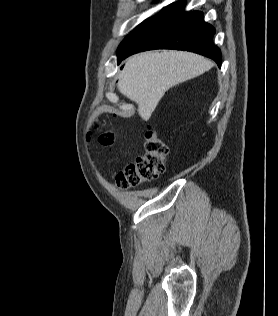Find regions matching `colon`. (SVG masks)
<instances>
[{"label": "colon", "mask_w": 278, "mask_h": 316, "mask_svg": "<svg viewBox=\"0 0 278 316\" xmlns=\"http://www.w3.org/2000/svg\"><path fill=\"white\" fill-rule=\"evenodd\" d=\"M114 139V134L110 131L102 132L99 136L100 143L106 146L113 145ZM144 150L143 155L117 174L115 180L118 187L123 189L136 187L154 180L163 173L168 148L153 130H148L145 134Z\"/></svg>", "instance_id": "colon-1"}]
</instances>
